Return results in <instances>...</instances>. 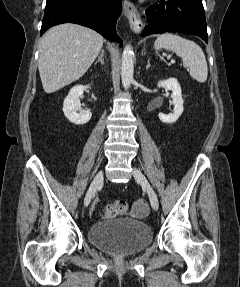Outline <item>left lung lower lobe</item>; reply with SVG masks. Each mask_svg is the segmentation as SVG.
<instances>
[{"label":"left lung lower lobe","mask_w":240,"mask_h":287,"mask_svg":"<svg viewBox=\"0 0 240 287\" xmlns=\"http://www.w3.org/2000/svg\"><path fill=\"white\" fill-rule=\"evenodd\" d=\"M144 18L148 25L141 36L182 32L197 35L208 42L202 0H160L145 11Z\"/></svg>","instance_id":"left-lung-lower-lobe-1"}]
</instances>
